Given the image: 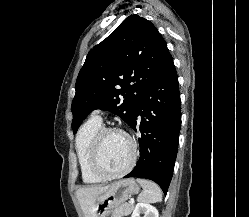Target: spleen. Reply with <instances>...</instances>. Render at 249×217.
<instances>
[{"label":"spleen","mask_w":249,"mask_h":217,"mask_svg":"<svg viewBox=\"0 0 249 217\" xmlns=\"http://www.w3.org/2000/svg\"><path fill=\"white\" fill-rule=\"evenodd\" d=\"M137 182L143 188V192L138 196L139 202H145V203L161 202L162 191L156 183L141 178H137Z\"/></svg>","instance_id":"spleen-1"}]
</instances>
